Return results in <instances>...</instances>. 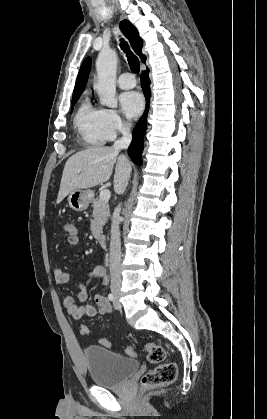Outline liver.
<instances>
[{
	"instance_id": "1",
	"label": "liver",
	"mask_w": 267,
	"mask_h": 419,
	"mask_svg": "<svg viewBox=\"0 0 267 419\" xmlns=\"http://www.w3.org/2000/svg\"><path fill=\"white\" fill-rule=\"evenodd\" d=\"M114 190L122 193L130 177L131 164L113 147H90L72 155L66 162L61 178L57 203L74 190L88 189L109 180L113 167Z\"/></svg>"
}]
</instances>
